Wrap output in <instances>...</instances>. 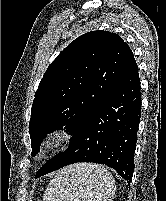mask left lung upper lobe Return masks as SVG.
<instances>
[{"mask_svg":"<svg viewBox=\"0 0 166 201\" xmlns=\"http://www.w3.org/2000/svg\"><path fill=\"white\" fill-rule=\"evenodd\" d=\"M134 56L123 39L91 31L71 42L46 70L29 122L32 156L55 130L74 134L128 71Z\"/></svg>","mask_w":166,"mask_h":201,"instance_id":"left-lung-upper-lobe-1","label":"left lung upper lobe"}]
</instances>
